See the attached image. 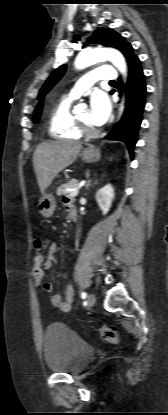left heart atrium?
<instances>
[{
	"instance_id": "1",
	"label": "left heart atrium",
	"mask_w": 168,
	"mask_h": 415,
	"mask_svg": "<svg viewBox=\"0 0 168 415\" xmlns=\"http://www.w3.org/2000/svg\"><path fill=\"white\" fill-rule=\"evenodd\" d=\"M90 122L94 126L103 125L109 118L111 104L107 95L102 91H95L90 100Z\"/></svg>"
}]
</instances>
